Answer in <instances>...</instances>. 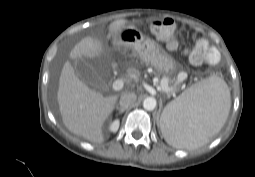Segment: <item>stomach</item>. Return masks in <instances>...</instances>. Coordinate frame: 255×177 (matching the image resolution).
<instances>
[{
    "label": "stomach",
    "instance_id": "stomach-1",
    "mask_svg": "<svg viewBox=\"0 0 255 177\" xmlns=\"http://www.w3.org/2000/svg\"><path fill=\"white\" fill-rule=\"evenodd\" d=\"M114 42L118 47L130 49L144 62L154 66L163 74H172L176 62L155 41L146 37L134 25H125Z\"/></svg>",
    "mask_w": 255,
    "mask_h": 177
}]
</instances>
